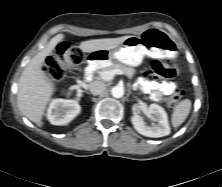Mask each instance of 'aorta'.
Wrapping results in <instances>:
<instances>
[{"label": "aorta", "mask_w": 222, "mask_h": 187, "mask_svg": "<svg viewBox=\"0 0 222 187\" xmlns=\"http://www.w3.org/2000/svg\"><path fill=\"white\" fill-rule=\"evenodd\" d=\"M111 94H112V96L113 97H115V98H121V97H123V95H124V89H123V87H121V86H114L112 89H111Z\"/></svg>", "instance_id": "762f6f07"}]
</instances>
